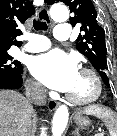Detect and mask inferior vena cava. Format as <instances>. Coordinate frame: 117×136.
Wrapping results in <instances>:
<instances>
[{
	"mask_svg": "<svg viewBox=\"0 0 117 136\" xmlns=\"http://www.w3.org/2000/svg\"><path fill=\"white\" fill-rule=\"evenodd\" d=\"M27 100L36 105H45L46 89L39 83H32L26 92Z\"/></svg>",
	"mask_w": 117,
	"mask_h": 136,
	"instance_id": "inferior-vena-cava-1",
	"label": "inferior vena cava"
}]
</instances>
